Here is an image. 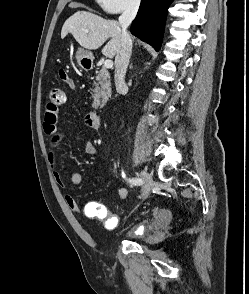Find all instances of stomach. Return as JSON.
Returning <instances> with one entry per match:
<instances>
[{"label":"stomach","instance_id":"stomach-1","mask_svg":"<svg viewBox=\"0 0 249 294\" xmlns=\"http://www.w3.org/2000/svg\"><path fill=\"white\" fill-rule=\"evenodd\" d=\"M93 58L92 52L87 49L79 48L76 52L77 63L82 69L90 67L93 63Z\"/></svg>","mask_w":249,"mask_h":294}]
</instances>
